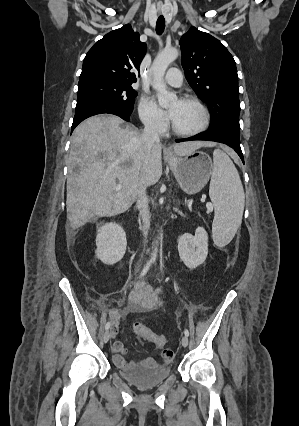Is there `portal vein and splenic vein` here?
Segmentation results:
<instances>
[{"mask_svg":"<svg viewBox=\"0 0 299 426\" xmlns=\"http://www.w3.org/2000/svg\"><path fill=\"white\" fill-rule=\"evenodd\" d=\"M121 188H122V185H121V184H117V185H116V189H117V190H120ZM206 205H207V207H208V208H213V206H212V204H211V203H207Z\"/></svg>","mask_w":299,"mask_h":426,"instance_id":"18ae733b","label":"portal vein and splenic vein"}]
</instances>
